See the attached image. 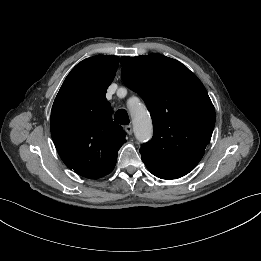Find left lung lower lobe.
<instances>
[{
  "label": "left lung lower lobe",
  "instance_id": "obj_1",
  "mask_svg": "<svg viewBox=\"0 0 261 261\" xmlns=\"http://www.w3.org/2000/svg\"><path fill=\"white\" fill-rule=\"evenodd\" d=\"M145 165L153 175H155L156 177L161 178V179H168V180L176 179V178L186 175L184 173L164 171V170H160L156 167H153L151 165H147V164H145Z\"/></svg>",
  "mask_w": 261,
  "mask_h": 261
}]
</instances>
